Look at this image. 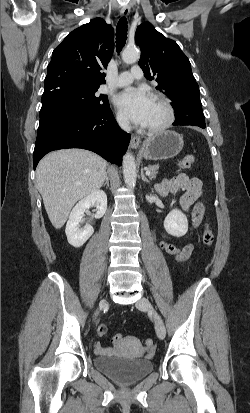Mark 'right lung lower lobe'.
I'll use <instances>...</instances> for the list:
<instances>
[{
	"mask_svg": "<svg viewBox=\"0 0 250 413\" xmlns=\"http://www.w3.org/2000/svg\"><path fill=\"white\" fill-rule=\"evenodd\" d=\"M130 134L117 124L111 109L89 111L58 107L40 116L33 166L48 152L64 148L91 150L121 165Z\"/></svg>",
	"mask_w": 250,
	"mask_h": 413,
	"instance_id": "right-lung-lower-lobe-1",
	"label": "right lung lower lobe"
}]
</instances>
